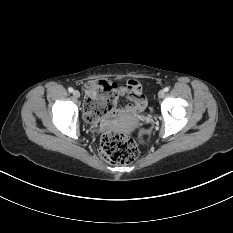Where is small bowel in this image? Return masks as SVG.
I'll return each instance as SVG.
<instances>
[{
    "mask_svg": "<svg viewBox=\"0 0 233 233\" xmlns=\"http://www.w3.org/2000/svg\"><path fill=\"white\" fill-rule=\"evenodd\" d=\"M116 96L117 98L119 96H127L129 100L131 101V103L123 107L116 106L115 110L109 115H112V116L129 115V114L141 112L146 107V99L144 98L142 94L141 84L136 80L130 79L120 86L116 85ZM86 102H87V99H86ZM86 102H85V115L87 118L88 112L86 110Z\"/></svg>",
    "mask_w": 233,
    "mask_h": 233,
    "instance_id": "1",
    "label": "small bowel"
}]
</instances>
